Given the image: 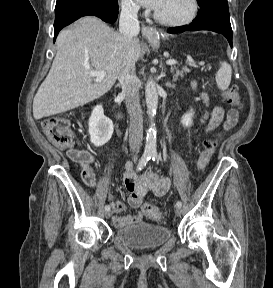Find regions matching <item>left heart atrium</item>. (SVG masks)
<instances>
[{"label":"left heart atrium","instance_id":"left-heart-atrium-1","mask_svg":"<svg viewBox=\"0 0 273 288\" xmlns=\"http://www.w3.org/2000/svg\"><path fill=\"white\" fill-rule=\"evenodd\" d=\"M140 2L143 5L156 10V8L159 6L161 0H140Z\"/></svg>","mask_w":273,"mask_h":288}]
</instances>
